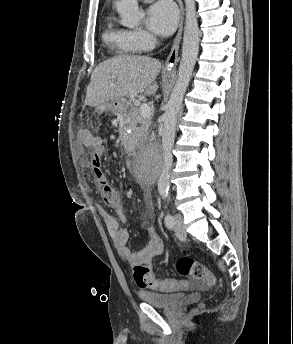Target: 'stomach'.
Wrapping results in <instances>:
<instances>
[{"label": "stomach", "instance_id": "1", "mask_svg": "<svg viewBox=\"0 0 293 344\" xmlns=\"http://www.w3.org/2000/svg\"><path fill=\"white\" fill-rule=\"evenodd\" d=\"M129 108V102L124 99H116L96 106V111L102 113L110 111L113 114L124 115Z\"/></svg>", "mask_w": 293, "mask_h": 344}]
</instances>
